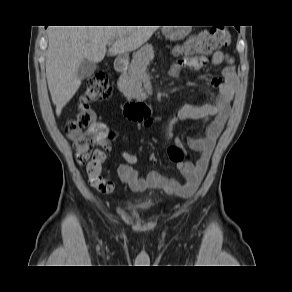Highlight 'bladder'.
Instances as JSON below:
<instances>
[{
  "label": "bladder",
  "mask_w": 292,
  "mask_h": 292,
  "mask_svg": "<svg viewBox=\"0 0 292 292\" xmlns=\"http://www.w3.org/2000/svg\"><path fill=\"white\" fill-rule=\"evenodd\" d=\"M152 205L151 201L150 200H146L140 204L137 205V207L139 208H148Z\"/></svg>",
  "instance_id": "obj_1"
}]
</instances>
